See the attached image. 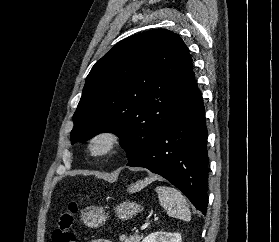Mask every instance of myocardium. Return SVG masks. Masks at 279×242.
<instances>
[{
    "label": "myocardium",
    "mask_w": 279,
    "mask_h": 242,
    "mask_svg": "<svg viewBox=\"0 0 279 242\" xmlns=\"http://www.w3.org/2000/svg\"><path fill=\"white\" fill-rule=\"evenodd\" d=\"M121 142L120 135L112 129H101L88 140V153L95 158H102L113 153Z\"/></svg>",
    "instance_id": "obj_1"
}]
</instances>
